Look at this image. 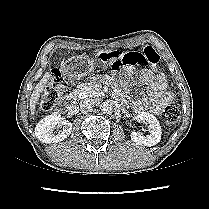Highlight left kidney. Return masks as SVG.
<instances>
[{
  "mask_svg": "<svg viewBox=\"0 0 209 209\" xmlns=\"http://www.w3.org/2000/svg\"><path fill=\"white\" fill-rule=\"evenodd\" d=\"M137 119L138 121H143L144 123L148 124V131L150 134L145 137L141 133L133 131L131 133V139L139 145L149 147L159 143L161 139L162 130L159 121L156 119V117L147 112H140L137 115Z\"/></svg>",
  "mask_w": 209,
  "mask_h": 209,
  "instance_id": "1",
  "label": "left kidney"
}]
</instances>
